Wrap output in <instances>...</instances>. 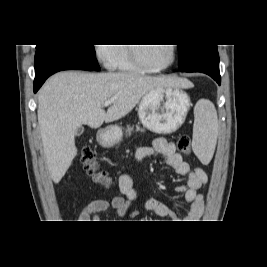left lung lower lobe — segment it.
Wrapping results in <instances>:
<instances>
[{
	"mask_svg": "<svg viewBox=\"0 0 267 267\" xmlns=\"http://www.w3.org/2000/svg\"><path fill=\"white\" fill-rule=\"evenodd\" d=\"M182 72H201L211 76L219 85L221 77L219 72L218 51H209L192 61Z\"/></svg>",
	"mask_w": 267,
	"mask_h": 267,
	"instance_id": "left-lung-lower-lobe-1",
	"label": "left lung lower lobe"
}]
</instances>
